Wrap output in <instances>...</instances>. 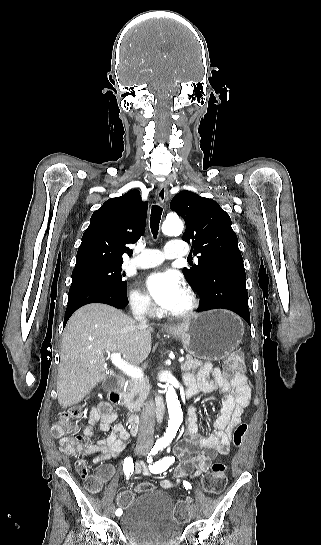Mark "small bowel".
<instances>
[{
  "instance_id": "obj_1",
  "label": "small bowel",
  "mask_w": 321,
  "mask_h": 545,
  "mask_svg": "<svg viewBox=\"0 0 321 545\" xmlns=\"http://www.w3.org/2000/svg\"><path fill=\"white\" fill-rule=\"evenodd\" d=\"M211 376V378H210ZM188 398L202 393H212L220 390L224 394V401L220 413L213 424V431L207 436L199 434L197 411L195 406L189 409L187 419V435L175 446V453L181 461V466L176 470L177 482L185 476L195 477L207 471L209 463L217 454H227L230 450L231 430L240 423L244 409L248 406L251 392L245 376L228 379L219 368L205 363L196 374H188L185 377ZM117 413L107 402H101L94 407L89 415L88 425L84 428V435L91 438L95 434V426L98 425L102 432L107 433L105 438L95 443H87L84 455L97 454L92 462L101 464L119 456L126 447L128 432L114 422ZM136 474L150 476L152 472L143 463L136 464ZM96 474L102 482L108 481L114 474L111 464H101ZM163 488H169L172 483L164 480Z\"/></svg>"
}]
</instances>
